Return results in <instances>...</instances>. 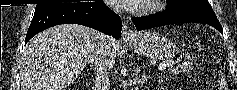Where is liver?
Masks as SVG:
<instances>
[{
  "label": "liver",
  "instance_id": "liver-1",
  "mask_svg": "<svg viewBox=\"0 0 237 90\" xmlns=\"http://www.w3.org/2000/svg\"><path fill=\"white\" fill-rule=\"evenodd\" d=\"M102 34L78 24L40 32L21 58L22 90H65L98 52Z\"/></svg>",
  "mask_w": 237,
  "mask_h": 90
}]
</instances>
